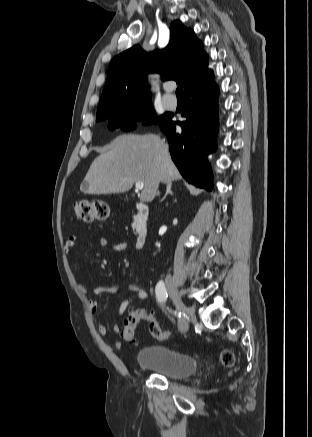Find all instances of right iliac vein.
I'll return each instance as SVG.
<instances>
[{"instance_id":"63e3f726","label":"right iliac vein","mask_w":312,"mask_h":437,"mask_svg":"<svg viewBox=\"0 0 312 437\" xmlns=\"http://www.w3.org/2000/svg\"><path fill=\"white\" fill-rule=\"evenodd\" d=\"M170 296L176 306V308L184 313V317L179 320V327L182 332L186 331L188 326V319L194 320L193 312L184 304L176 286L171 283L169 287Z\"/></svg>"}]
</instances>
